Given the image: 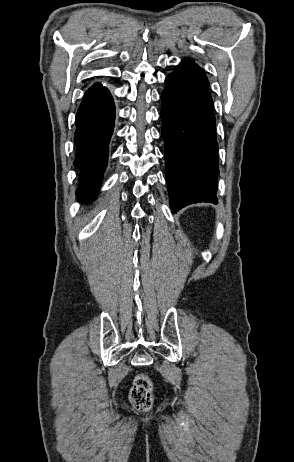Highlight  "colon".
Segmentation results:
<instances>
[{"label": "colon", "mask_w": 294, "mask_h": 462, "mask_svg": "<svg viewBox=\"0 0 294 462\" xmlns=\"http://www.w3.org/2000/svg\"><path fill=\"white\" fill-rule=\"evenodd\" d=\"M129 398L137 409L147 410L151 407L152 383L148 376L139 374L135 377Z\"/></svg>", "instance_id": "colon-1"}]
</instances>
